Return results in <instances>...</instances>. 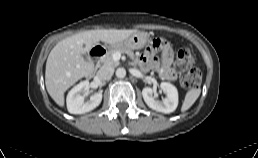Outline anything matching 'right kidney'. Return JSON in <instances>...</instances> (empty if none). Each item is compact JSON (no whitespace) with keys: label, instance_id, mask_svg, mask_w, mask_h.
I'll return each instance as SVG.
<instances>
[{"label":"right kidney","instance_id":"1","mask_svg":"<svg viewBox=\"0 0 258 158\" xmlns=\"http://www.w3.org/2000/svg\"><path fill=\"white\" fill-rule=\"evenodd\" d=\"M90 88L89 81H82L73 87L67 95V109L71 114H84L92 111L102 101V92H97L90 97V100L84 102L83 92Z\"/></svg>","mask_w":258,"mask_h":158}]
</instances>
